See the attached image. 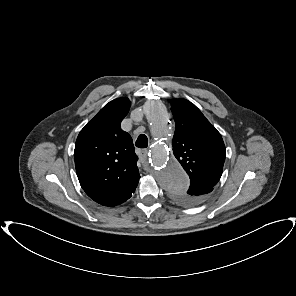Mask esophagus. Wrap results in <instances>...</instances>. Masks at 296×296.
Masks as SVG:
<instances>
[{"mask_svg": "<svg viewBox=\"0 0 296 296\" xmlns=\"http://www.w3.org/2000/svg\"><path fill=\"white\" fill-rule=\"evenodd\" d=\"M137 154L139 156L140 161L143 163L147 158L148 151L147 149H138Z\"/></svg>", "mask_w": 296, "mask_h": 296, "instance_id": "1", "label": "esophagus"}]
</instances>
